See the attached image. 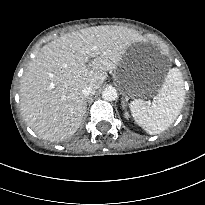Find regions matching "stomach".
Instances as JSON below:
<instances>
[{
    "instance_id": "1",
    "label": "stomach",
    "mask_w": 205,
    "mask_h": 205,
    "mask_svg": "<svg viewBox=\"0 0 205 205\" xmlns=\"http://www.w3.org/2000/svg\"><path fill=\"white\" fill-rule=\"evenodd\" d=\"M113 77L123 93L132 98L147 97L156 91V87L151 83L142 80L138 63L131 53L125 54L116 67Z\"/></svg>"
}]
</instances>
